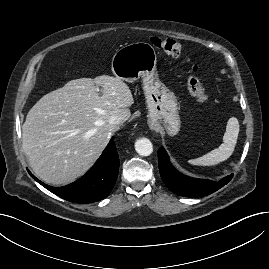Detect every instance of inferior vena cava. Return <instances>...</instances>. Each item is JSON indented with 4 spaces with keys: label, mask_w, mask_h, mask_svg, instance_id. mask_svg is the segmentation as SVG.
<instances>
[{
    "label": "inferior vena cava",
    "mask_w": 269,
    "mask_h": 269,
    "mask_svg": "<svg viewBox=\"0 0 269 269\" xmlns=\"http://www.w3.org/2000/svg\"><path fill=\"white\" fill-rule=\"evenodd\" d=\"M123 123V119L120 116H112L109 119V124L111 127H113L114 129L118 128L119 125H121Z\"/></svg>",
    "instance_id": "1"
}]
</instances>
